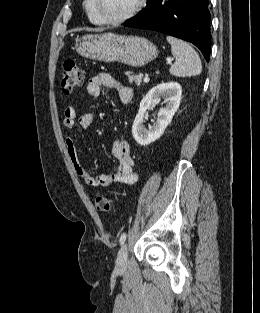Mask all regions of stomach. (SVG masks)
I'll return each instance as SVG.
<instances>
[{"instance_id":"0dacf381","label":"stomach","mask_w":260,"mask_h":313,"mask_svg":"<svg viewBox=\"0 0 260 313\" xmlns=\"http://www.w3.org/2000/svg\"><path fill=\"white\" fill-rule=\"evenodd\" d=\"M75 49L86 58L132 67L144 66L158 56L156 45L146 38L111 32L84 35L76 40Z\"/></svg>"}]
</instances>
